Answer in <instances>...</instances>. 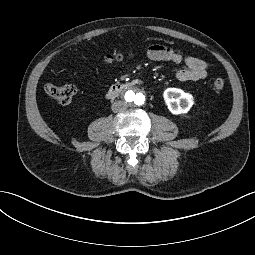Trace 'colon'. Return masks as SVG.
I'll return each instance as SVG.
<instances>
[{
    "instance_id": "colon-1",
    "label": "colon",
    "mask_w": 255,
    "mask_h": 255,
    "mask_svg": "<svg viewBox=\"0 0 255 255\" xmlns=\"http://www.w3.org/2000/svg\"><path fill=\"white\" fill-rule=\"evenodd\" d=\"M122 58H123L122 54H114L108 56L109 61L121 60ZM224 86H225L224 80L220 78L215 79L212 83V89L216 93L221 92ZM45 92L49 97L58 101L59 103L68 105L72 102L76 94V88L70 84L65 85L47 84L45 86Z\"/></svg>"
}]
</instances>
